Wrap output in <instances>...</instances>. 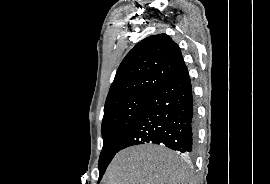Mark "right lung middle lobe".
<instances>
[{
    "label": "right lung middle lobe",
    "instance_id": "obj_1",
    "mask_svg": "<svg viewBox=\"0 0 270 184\" xmlns=\"http://www.w3.org/2000/svg\"><path fill=\"white\" fill-rule=\"evenodd\" d=\"M148 97L133 95L105 104L102 121L104 143L99 158V181L108 164L119 151L121 142L129 132Z\"/></svg>",
    "mask_w": 270,
    "mask_h": 184
}]
</instances>
